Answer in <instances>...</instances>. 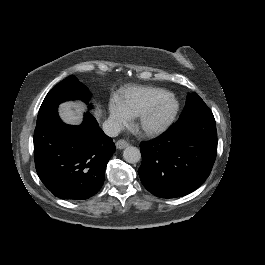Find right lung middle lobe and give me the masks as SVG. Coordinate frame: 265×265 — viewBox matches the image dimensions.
I'll use <instances>...</instances> for the list:
<instances>
[{
  "label": "right lung middle lobe",
  "instance_id": "right-lung-middle-lobe-1",
  "mask_svg": "<svg viewBox=\"0 0 265 265\" xmlns=\"http://www.w3.org/2000/svg\"><path fill=\"white\" fill-rule=\"evenodd\" d=\"M90 92L78 79L71 75L58 83L45 97L38 113L37 119L44 117L64 101L80 99L87 102L90 99Z\"/></svg>",
  "mask_w": 265,
  "mask_h": 265
}]
</instances>
